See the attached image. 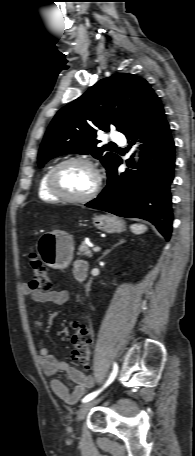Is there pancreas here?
Returning <instances> with one entry per match:
<instances>
[{"label":"pancreas","instance_id":"pancreas-1","mask_svg":"<svg viewBox=\"0 0 195 456\" xmlns=\"http://www.w3.org/2000/svg\"><path fill=\"white\" fill-rule=\"evenodd\" d=\"M77 255L81 257H92V252L90 251L88 245L85 242H82V244L79 247V251L77 252Z\"/></svg>","mask_w":195,"mask_h":456}]
</instances>
